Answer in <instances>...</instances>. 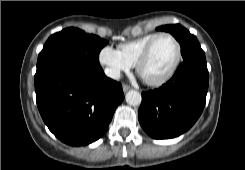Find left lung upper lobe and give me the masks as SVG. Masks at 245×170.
Masks as SVG:
<instances>
[{"mask_svg": "<svg viewBox=\"0 0 245 170\" xmlns=\"http://www.w3.org/2000/svg\"><path fill=\"white\" fill-rule=\"evenodd\" d=\"M157 30L169 32L176 38L180 43L181 54L184 61L206 62L204 51L201 49L197 38L181 25L161 26L158 27Z\"/></svg>", "mask_w": 245, "mask_h": 170, "instance_id": "5c2ea615", "label": "left lung upper lobe"}]
</instances>
